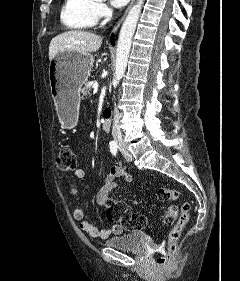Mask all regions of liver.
<instances>
[{"mask_svg": "<svg viewBox=\"0 0 240 281\" xmlns=\"http://www.w3.org/2000/svg\"><path fill=\"white\" fill-rule=\"evenodd\" d=\"M102 37L95 33L71 30L55 36L49 45V60L55 58L58 53L79 52L91 53L99 50Z\"/></svg>", "mask_w": 240, "mask_h": 281, "instance_id": "6515ba94", "label": "liver"}]
</instances>
